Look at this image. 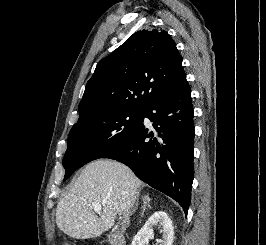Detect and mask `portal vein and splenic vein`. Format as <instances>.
Here are the masks:
<instances>
[{
  "mask_svg": "<svg viewBox=\"0 0 266 245\" xmlns=\"http://www.w3.org/2000/svg\"><path fill=\"white\" fill-rule=\"evenodd\" d=\"M92 207L93 211H102V205H99V203H93Z\"/></svg>",
  "mask_w": 266,
  "mask_h": 245,
  "instance_id": "1",
  "label": "portal vein and splenic vein"
}]
</instances>
